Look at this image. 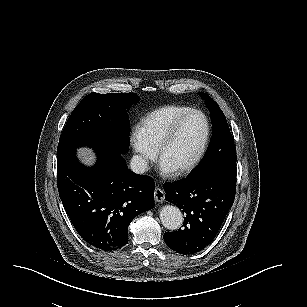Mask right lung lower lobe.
<instances>
[{
  "instance_id": "1",
  "label": "right lung lower lobe",
  "mask_w": 307,
  "mask_h": 307,
  "mask_svg": "<svg viewBox=\"0 0 307 307\" xmlns=\"http://www.w3.org/2000/svg\"><path fill=\"white\" fill-rule=\"evenodd\" d=\"M97 164L83 166L71 151L57 156L60 199L73 226L89 245L116 250L128 242L136 215L154 207V181L127 169L122 152L93 147Z\"/></svg>"
}]
</instances>
